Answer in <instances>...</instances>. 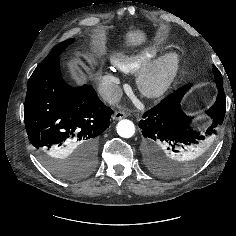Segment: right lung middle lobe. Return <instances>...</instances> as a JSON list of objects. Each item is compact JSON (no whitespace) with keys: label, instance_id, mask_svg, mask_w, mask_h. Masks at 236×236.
<instances>
[{"label":"right lung middle lobe","instance_id":"dd1d6c3e","mask_svg":"<svg viewBox=\"0 0 236 236\" xmlns=\"http://www.w3.org/2000/svg\"><path fill=\"white\" fill-rule=\"evenodd\" d=\"M72 42L73 39H68L56 45L41 63L59 59L60 53ZM41 159L49 171L61 178L66 179H75L85 176L90 172L95 164H92L87 160L76 161L73 159H62L50 155H41Z\"/></svg>","mask_w":236,"mask_h":236}]
</instances>
